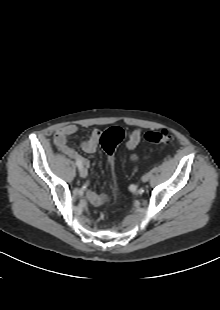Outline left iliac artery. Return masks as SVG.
<instances>
[{
    "instance_id": "obj_1",
    "label": "left iliac artery",
    "mask_w": 220,
    "mask_h": 310,
    "mask_svg": "<svg viewBox=\"0 0 220 310\" xmlns=\"http://www.w3.org/2000/svg\"><path fill=\"white\" fill-rule=\"evenodd\" d=\"M129 190H130L131 192H135V191L137 190V185L131 184V185L129 186Z\"/></svg>"
}]
</instances>
